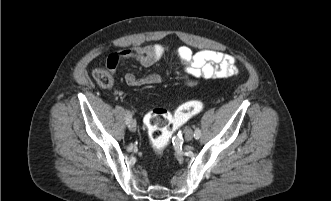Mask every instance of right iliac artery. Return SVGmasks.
I'll return each instance as SVG.
<instances>
[{"label": "right iliac artery", "instance_id": "right-iliac-artery-1", "mask_svg": "<svg viewBox=\"0 0 331 201\" xmlns=\"http://www.w3.org/2000/svg\"><path fill=\"white\" fill-rule=\"evenodd\" d=\"M132 120V115L130 111H127L126 114V124L129 125L130 121Z\"/></svg>", "mask_w": 331, "mask_h": 201}]
</instances>
